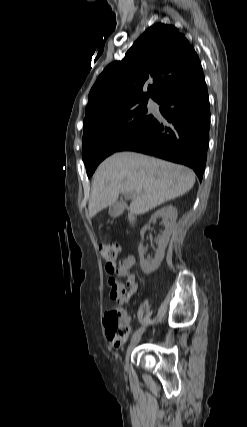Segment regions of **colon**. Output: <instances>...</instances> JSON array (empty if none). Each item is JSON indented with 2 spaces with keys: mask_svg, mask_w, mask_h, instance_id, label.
Instances as JSON below:
<instances>
[{
  "mask_svg": "<svg viewBox=\"0 0 247 427\" xmlns=\"http://www.w3.org/2000/svg\"><path fill=\"white\" fill-rule=\"evenodd\" d=\"M100 252L105 261L113 263L121 254V246L116 242H108L100 246ZM104 327L107 339L117 348L125 344L131 331L122 308H114L105 313Z\"/></svg>",
  "mask_w": 247,
  "mask_h": 427,
  "instance_id": "1",
  "label": "colon"
}]
</instances>
